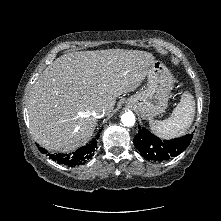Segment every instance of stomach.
<instances>
[{"mask_svg": "<svg viewBox=\"0 0 221 221\" xmlns=\"http://www.w3.org/2000/svg\"><path fill=\"white\" fill-rule=\"evenodd\" d=\"M147 85L126 100V105L135 108L143 119H152L163 113L173 88V77L159 61H154L147 72Z\"/></svg>", "mask_w": 221, "mask_h": 221, "instance_id": "obj_1", "label": "stomach"}]
</instances>
